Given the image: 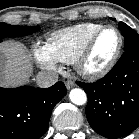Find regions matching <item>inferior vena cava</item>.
Masks as SVG:
<instances>
[{"label":"inferior vena cava","mask_w":139,"mask_h":139,"mask_svg":"<svg viewBox=\"0 0 139 139\" xmlns=\"http://www.w3.org/2000/svg\"><path fill=\"white\" fill-rule=\"evenodd\" d=\"M58 81V74L52 71H40L36 76V83L41 88H48Z\"/></svg>","instance_id":"obj_1"}]
</instances>
